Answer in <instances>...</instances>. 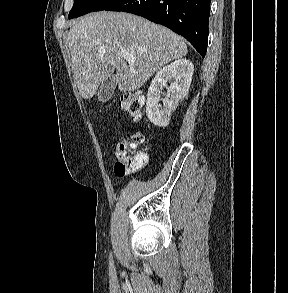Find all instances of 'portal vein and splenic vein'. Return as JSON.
<instances>
[{
    "instance_id": "obj_1",
    "label": "portal vein and splenic vein",
    "mask_w": 288,
    "mask_h": 293,
    "mask_svg": "<svg viewBox=\"0 0 288 293\" xmlns=\"http://www.w3.org/2000/svg\"><path fill=\"white\" fill-rule=\"evenodd\" d=\"M120 57L124 58L127 61L135 60L134 55L130 54L129 52H122L119 54Z\"/></svg>"
}]
</instances>
